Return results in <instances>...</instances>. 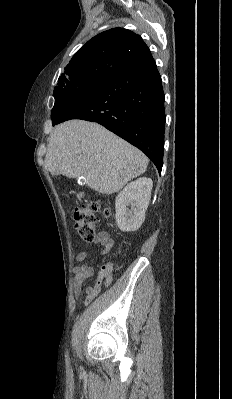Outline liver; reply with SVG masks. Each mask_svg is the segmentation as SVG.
<instances>
[{"mask_svg": "<svg viewBox=\"0 0 232 399\" xmlns=\"http://www.w3.org/2000/svg\"><path fill=\"white\" fill-rule=\"evenodd\" d=\"M148 158L94 122L70 120L49 138L45 166L52 176L85 178L87 186L114 194L147 170Z\"/></svg>", "mask_w": 232, "mask_h": 399, "instance_id": "6515ba94", "label": "liver"}]
</instances>
